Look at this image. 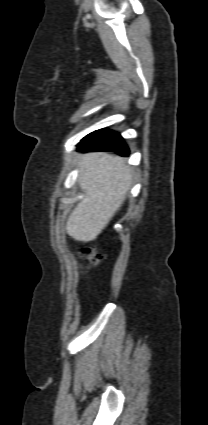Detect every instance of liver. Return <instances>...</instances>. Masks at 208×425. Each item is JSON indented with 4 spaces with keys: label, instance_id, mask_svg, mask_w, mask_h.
Wrapping results in <instances>:
<instances>
[{
    "label": "liver",
    "instance_id": "liver-1",
    "mask_svg": "<svg viewBox=\"0 0 208 425\" xmlns=\"http://www.w3.org/2000/svg\"><path fill=\"white\" fill-rule=\"evenodd\" d=\"M78 167V182L85 196L69 215L66 230L76 241L90 242L125 201L132 171L123 158L107 153L82 155Z\"/></svg>",
    "mask_w": 208,
    "mask_h": 425
}]
</instances>
